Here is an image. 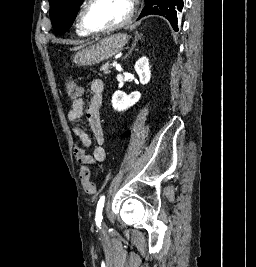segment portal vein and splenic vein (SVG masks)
I'll return each instance as SVG.
<instances>
[{
  "instance_id": "1",
  "label": "portal vein and splenic vein",
  "mask_w": 256,
  "mask_h": 267,
  "mask_svg": "<svg viewBox=\"0 0 256 267\" xmlns=\"http://www.w3.org/2000/svg\"><path fill=\"white\" fill-rule=\"evenodd\" d=\"M118 63H119L118 61H114V62H113V66H118ZM116 68H117V67H116Z\"/></svg>"
}]
</instances>
